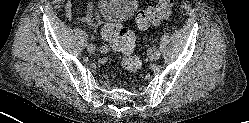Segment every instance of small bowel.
Wrapping results in <instances>:
<instances>
[{"label": "small bowel", "instance_id": "small-bowel-1", "mask_svg": "<svg viewBox=\"0 0 249 123\" xmlns=\"http://www.w3.org/2000/svg\"><path fill=\"white\" fill-rule=\"evenodd\" d=\"M64 7H65V12H66V17L69 20H73L74 19V15L72 12L73 0H65ZM78 19L84 22L85 24L89 26H93V27L99 24L98 12L95 9L94 3L92 0H87L85 15L82 17H79Z\"/></svg>", "mask_w": 249, "mask_h": 123}]
</instances>
